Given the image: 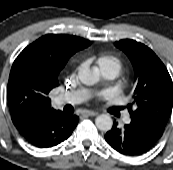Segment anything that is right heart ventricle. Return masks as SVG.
I'll use <instances>...</instances> for the list:
<instances>
[{
	"instance_id": "right-heart-ventricle-1",
	"label": "right heart ventricle",
	"mask_w": 173,
	"mask_h": 170,
	"mask_svg": "<svg viewBox=\"0 0 173 170\" xmlns=\"http://www.w3.org/2000/svg\"><path fill=\"white\" fill-rule=\"evenodd\" d=\"M98 64L103 65V66L112 67L113 69H115L116 73L119 72L121 69V63L118 60L113 59L111 57L100 58L98 61Z\"/></svg>"
}]
</instances>
